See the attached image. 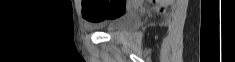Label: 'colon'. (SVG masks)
Returning a JSON list of instances; mask_svg holds the SVG:
<instances>
[{"instance_id":"obj_1","label":"colon","mask_w":235,"mask_h":62,"mask_svg":"<svg viewBox=\"0 0 235 62\" xmlns=\"http://www.w3.org/2000/svg\"><path fill=\"white\" fill-rule=\"evenodd\" d=\"M131 1L129 0H96L83 1V16L91 23L118 16L126 11Z\"/></svg>"}]
</instances>
